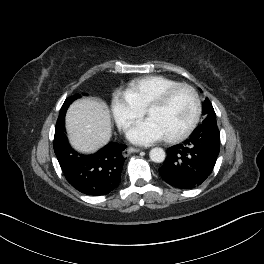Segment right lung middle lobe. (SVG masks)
<instances>
[{
	"label": "right lung middle lobe",
	"mask_w": 264,
	"mask_h": 264,
	"mask_svg": "<svg viewBox=\"0 0 264 264\" xmlns=\"http://www.w3.org/2000/svg\"><path fill=\"white\" fill-rule=\"evenodd\" d=\"M80 96L79 95H75V96H72V97H69L65 100V102L63 103L62 105V108L60 110V115L58 117V122L56 124V127H58L60 124H63V121H64V117H65V113L67 111V108L69 107V105L74 101L76 100L77 98H79Z\"/></svg>",
	"instance_id": "dd1d6c3e"
}]
</instances>
